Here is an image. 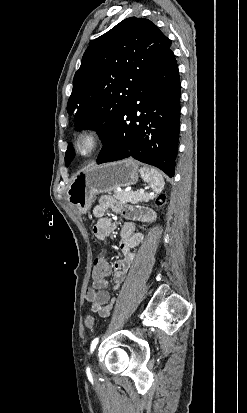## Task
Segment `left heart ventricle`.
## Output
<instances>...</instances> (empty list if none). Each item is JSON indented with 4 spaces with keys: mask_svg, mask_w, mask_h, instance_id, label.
Returning a JSON list of instances; mask_svg holds the SVG:
<instances>
[{
    "mask_svg": "<svg viewBox=\"0 0 247 413\" xmlns=\"http://www.w3.org/2000/svg\"><path fill=\"white\" fill-rule=\"evenodd\" d=\"M90 145H91V142H90V141H85L84 144H83V148H84L85 150H87V149L90 147Z\"/></svg>",
    "mask_w": 247,
    "mask_h": 413,
    "instance_id": "left-heart-ventricle-1",
    "label": "left heart ventricle"
}]
</instances>
